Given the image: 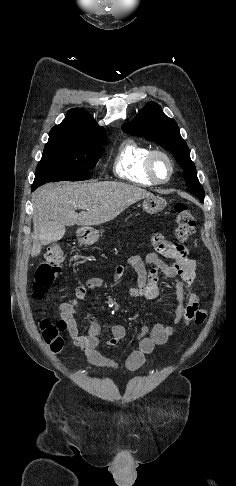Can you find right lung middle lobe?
Here are the masks:
<instances>
[{
    "label": "right lung middle lobe",
    "instance_id": "dd1d6c3e",
    "mask_svg": "<svg viewBox=\"0 0 236 486\" xmlns=\"http://www.w3.org/2000/svg\"><path fill=\"white\" fill-rule=\"evenodd\" d=\"M107 140L83 141L64 136H50L38 163L32 190L48 182L89 179Z\"/></svg>",
    "mask_w": 236,
    "mask_h": 486
}]
</instances>
